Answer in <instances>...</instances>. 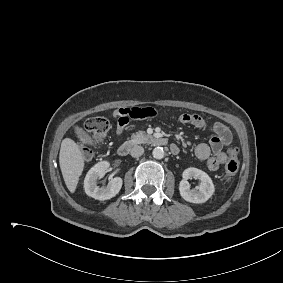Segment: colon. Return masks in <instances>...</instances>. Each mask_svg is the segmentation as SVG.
<instances>
[{"instance_id":"colon-1","label":"colon","mask_w":283,"mask_h":283,"mask_svg":"<svg viewBox=\"0 0 283 283\" xmlns=\"http://www.w3.org/2000/svg\"><path fill=\"white\" fill-rule=\"evenodd\" d=\"M85 130L88 134L89 141L83 142L82 150L85 156L92 155L97 145L101 144L108 134L110 129L109 121L104 117H91L85 122ZM238 149L232 147L228 150V160L224 168V177L226 180H230L239 169Z\"/></svg>"}]
</instances>
